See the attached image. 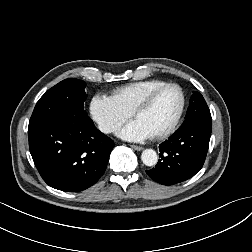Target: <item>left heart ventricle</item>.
Segmentation results:
<instances>
[{
    "label": "left heart ventricle",
    "instance_id": "1",
    "mask_svg": "<svg viewBox=\"0 0 252 252\" xmlns=\"http://www.w3.org/2000/svg\"><path fill=\"white\" fill-rule=\"evenodd\" d=\"M180 102V94L176 88L164 89L158 93L151 105L139 112L135 118L142 121L153 135H156L171 125L179 110Z\"/></svg>",
    "mask_w": 252,
    "mask_h": 252
}]
</instances>
